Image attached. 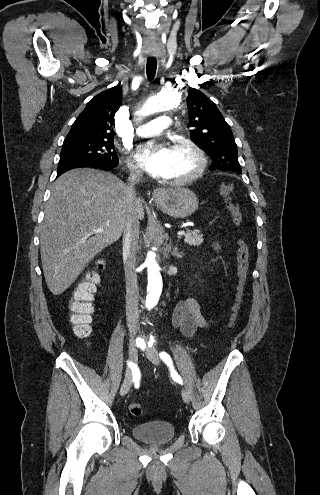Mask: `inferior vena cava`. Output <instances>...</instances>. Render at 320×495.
Returning a JSON list of instances; mask_svg holds the SVG:
<instances>
[{
  "mask_svg": "<svg viewBox=\"0 0 320 495\" xmlns=\"http://www.w3.org/2000/svg\"><path fill=\"white\" fill-rule=\"evenodd\" d=\"M142 177V171L133 169L130 171L127 189V213L123 235V258L126 280V318L130 330L137 329L139 289L136 266V250L139 239V218L135 209L134 185Z\"/></svg>",
  "mask_w": 320,
  "mask_h": 495,
  "instance_id": "1",
  "label": "inferior vena cava"
}]
</instances>
